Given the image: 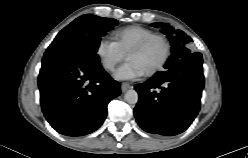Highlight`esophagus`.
<instances>
[{
    "label": "esophagus",
    "instance_id": "esophagus-1",
    "mask_svg": "<svg viewBox=\"0 0 248 158\" xmlns=\"http://www.w3.org/2000/svg\"><path fill=\"white\" fill-rule=\"evenodd\" d=\"M130 88H132V86H131L130 84H128V83H122V84H121V90H122L123 92L127 91V90L130 89Z\"/></svg>",
    "mask_w": 248,
    "mask_h": 158
}]
</instances>
